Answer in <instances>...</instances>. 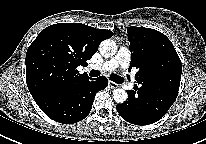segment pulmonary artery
<instances>
[{"instance_id": "e3ab8cb5", "label": "pulmonary artery", "mask_w": 206, "mask_h": 144, "mask_svg": "<svg viewBox=\"0 0 206 144\" xmlns=\"http://www.w3.org/2000/svg\"><path fill=\"white\" fill-rule=\"evenodd\" d=\"M131 53L128 48L121 47L118 53L111 58L110 60L104 62L101 65L92 66V68H96L103 71H111L118 67L127 68L130 63Z\"/></svg>"}]
</instances>
